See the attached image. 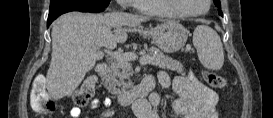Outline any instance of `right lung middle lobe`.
Segmentation results:
<instances>
[{
  "instance_id": "dd1d6c3e",
  "label": "right lung middle lobe",
  "mask_w": 273,
  "mask_h": 118,
  "mask_svg": "<svg viewBox=\"0 0 273 118\" xmlns=\"http://www.w3.org/2000/svg\"><path fill=\"white\" fill-rule=\"evenodd\" d=\"M55 1L57 0H51V3ZM68 1L80 3L84 5H89V6L106 8L109 5L111 0H68Z\"/></svg>"
}]
</instances>
